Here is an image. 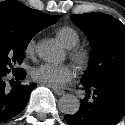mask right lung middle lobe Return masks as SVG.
Masks as SVG:
<instances>
[{
	"instance_id": "dd1d6c3e",
	"label": "right lung middle lobe",
	"mask_w": 125,
	"mask_h": 125,
	"mask_svg": "<svg viewBox=\"0 0 125 125\" xmlns=\"http://www.w3.org/2000/svg\"><path fill=\"white\" fill-rule=\"evenodd\" d=\"M60 16H53L55 23ZM32 37L16 35L0 29V70L11 72L15 65L22 63L25 58L24 51Z\"/></svg>"
}]
</instances>
